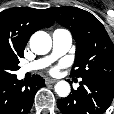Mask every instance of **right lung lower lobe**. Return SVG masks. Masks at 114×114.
Listing matches in <instances>:
<instances>
[{
    "instance_id": "1",
    "label": "right lung lower lobe",
    "mask_w": 114,
    "mask_h": 114,
    "mask_svg": "<svg viewBox=\"0 0 114 114\" xmlns=\"http://www.w3.org/2000/svg\"><path fill=\"white\" fill-rule=\"evenodd\" d=\"M45 85L42 77L34 75L28 82L16 77L0 83V114H27L39 88Z\"/></svg>"
}]
</instances>
